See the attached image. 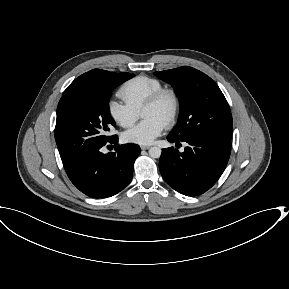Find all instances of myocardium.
Returning <instances> with one entry per match:
<instances>
[{
  "instance_id": "f54148a6",
  "label": "myocardium",
  "mask_w": 289,
  "mask_h": 289,
  "mask_svg": "<svg viewBox=\"0 0 289 289\" xmlns=\"http://www.w3.org/2000/svg\"><path fill=\"white\" fill-rule=\"evenodd\" d=\"M165 96H168L171 99V109L165 122V125L170 127L175 123L180 110V97L175 89L162 87L155 91L144 102L141 110L157 105Z\"/></svg>"
}]
</instances>
